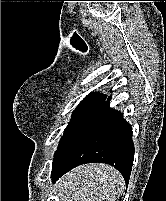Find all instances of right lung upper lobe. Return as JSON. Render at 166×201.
<instances>
[{
  "label": "right lung upper lobe",
  "mask_w": 166,
  "mask_h": 201,
  "mask_svg": "<svg viewBox=\"0 0 166 201\" xmlns=\"http://www.w3.org/2000/svg\"><path fill=\"white\" fill-rule=\"evenodd\" d=\"M94 97H106V95H103V94L97 93V92H95V93L93 92V93H90L87 98H94Z\"/></svg>",
  "instance_id": "obj_1"
}]
</instances>
